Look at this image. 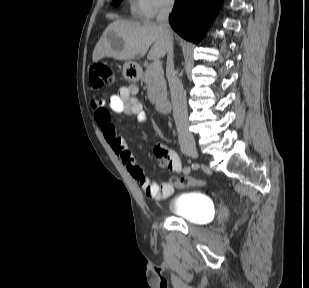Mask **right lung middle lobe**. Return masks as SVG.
Segmentation results:
<instances>
[{
  "label": "right lung middle lobe",
  "instance_id": "obj_1",
  "mask_svg": "<svg viewBox=\"0 0 309 288\" xmlns=\"http://www.w3.org/2000/svg\"><path fill=\"white\" fill-rule=\"evenodd\" d=\"M121 2V0H113V5L117 6L119 3Z\"/></svg>",
  "mask_w": 309,
  "mask_h": 288
}]
</instances>
